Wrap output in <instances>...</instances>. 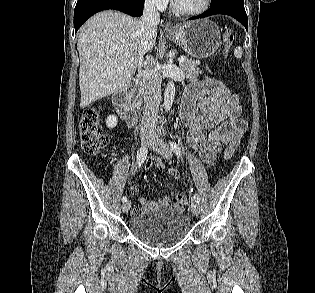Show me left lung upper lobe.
Here are the masks:
<instances>
[{
	"mask_svg": "<svg viewBox=\"0 0 315 293\" xmlns=\"http://www.w3.org/2000/svg\"><path fill=\"white\" fill-rule=\"evenodd\" d=\"M225 1H236V2H242L244 3V0H212L211 6H215L221 2H225Z\"/></svg>",
	"mask_w": 315,
	"mask_h": 293,
	"instance_id": "obj_1",
	"label": "left lung upper lobe"
}]
</instances>
